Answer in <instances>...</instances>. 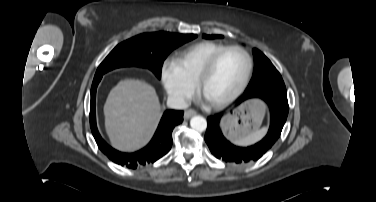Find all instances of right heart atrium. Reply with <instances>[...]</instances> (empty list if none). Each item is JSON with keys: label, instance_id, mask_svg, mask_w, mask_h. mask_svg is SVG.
<instances>
[{"label": "right heart atrium", "instance_id": "1", "mask_svg": "<svg viewBox=\"0 0 376 202\" xmlns=\"http://www.w3.org/2000/svg\"><path fill=\"white\" fill-rule=\"evenodd\" d=\"M160 76L165 93L175 104L183 106L194 96L195 85L187 80L174 59L163 61Z\"/></svg>", "mask_w": 376, "mask_h": 202}]
</instances>
